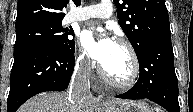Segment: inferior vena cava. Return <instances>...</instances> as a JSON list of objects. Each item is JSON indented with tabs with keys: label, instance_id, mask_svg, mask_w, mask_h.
<instances>
[{
	"label": "inferior vena cava",
	"instance_id": "obj_1",
	"mask_svg": "<svg viewBox=\"0 0 193 112\" xmlns=\"http://www.w3.org/2000/svg\"><path fill=\"white\" fill-rule=\"evenodd\" d=\"M90 65L88 62H80L76 65L69 89V99L72 102H80L82 98L90 94Z\"/></svg>",
	"mask_w": 193,
	"mask_h": 112
}]
</instances>
